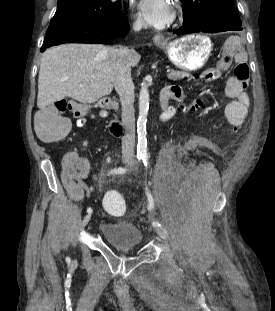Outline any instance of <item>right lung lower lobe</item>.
Segmentation results:
<instances>
[{
	"mask_svg": "<svg viewBox=\"0 0 275 311\" xmlns=\"http://www.w3.org/2000/svg\"><path fill=\"white\" fill-rule=\"evenodd\" d=\"M128 27L127 19L120 11L104 19L62 26L46 35L41 52L63 43H108L124 35Z\"/></svg>",
	"mask_w": 275,
	"mask_h": 311,
	"instance_id": "right-lung-lower-lobe-1",
	"label": "right lung lower lobe"
}]
</instances>
